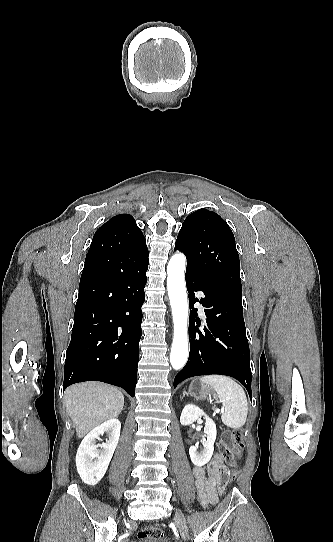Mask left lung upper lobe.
I'll list each match as a JSON object with an SVG mask.
<instances>
[{
    "mask_svg": "<svg viewBox=\"0 0 333 542\" xmlns=\"http://www.w3.org/2000/svg\"><path fill=\"white\" fill-rule=\"evenodd\" d=\"M175 250L186 255V270L205 281L242 291L235 238L217 213L200 209L190 214L179 231Z\"/></svg>",
    "mask_w": 333,
    "mask_h": 542,
    "instance_id": "obj_1",
    "label": "left lung upper lobe"
}]
</instances>
